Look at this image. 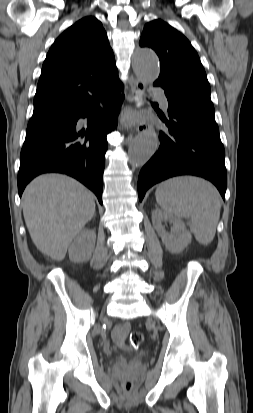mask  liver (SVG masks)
<instances>
[{
    "mask_svg": "<svg viewBox=\"0 0 253 413\" xmlns=\"http://www.w3.org/2000/svg\"><path fill=\"white\" fill-rule=\"evenodd\" d=\"M95 214L94 195L61 174L35 178L23 193V215L37 249L61 261L77 234Z\"/></svg>",
    "mask_w": 253,
    "mask_h": 413,
    "instance_id": "liver-1",
    "label": "liver"
}]
</instances>
